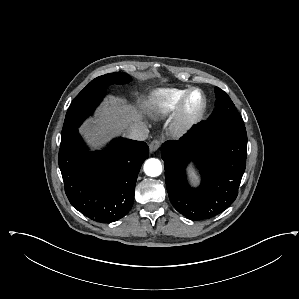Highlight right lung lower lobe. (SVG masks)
<instances>
[{
    "instance_id": "1",
    "label": "right lung lower lobe",
    "mask_w": 299,
    "mask_h": 299,
    "mask_svg": "<svg viewBox=\"0 0 299 299\" xmlns=\"http://www.w3.org/2000/svg\"><path fill=\"white\" fill-rule=\"evenodd\" d=\"M148 155L145 142L121 137L106 150L89 152L76 130L61 141L58 158L70 203L97 222L122 218L132 207L137 176Z\"/></svg>"
}]
</instances>
